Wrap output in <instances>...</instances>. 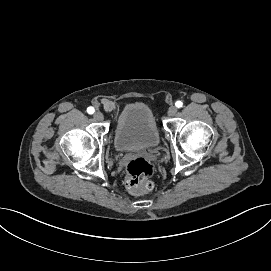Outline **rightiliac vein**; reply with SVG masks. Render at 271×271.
<instances>
[{
    "label": "right iliac vein",
    "instance_id": "obj_1",
    "mask_svg": "<svg viewBox=\"0 0 271 271\" xmlns=\"http://www.w3.org/2000/svg\"><path fill=\"white\" fill-rule=\"evenodd\" d=\"M93 118L97 121H101L103 119V114L101 112L97 111L93 114Z\"/></svg>",
    "mask_w": 271,
    "mask_h": 271
}]
</instances>
